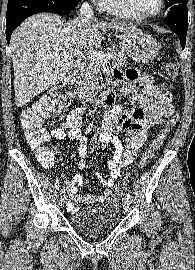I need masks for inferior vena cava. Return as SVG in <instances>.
Listing matches in <instances>:
<instances>
[{
    "instance_id": "inferior-vena-cava-1",
    "label": "inferior vena cava",
    "mask_w": 195,
    "mask_h": 270,
    "mask_svg": "<svg viewBox=\"0 0 195 270\" xmlns=\"http://www.w3.org/2000/svg\"><path fill=\"white\" fill-rule=\"evenodd\" d=\"M79 19L85 23H89L94 20V12L87 2H84L81 5V8L79 10Z\"/></svg>"
}]
</instances>
